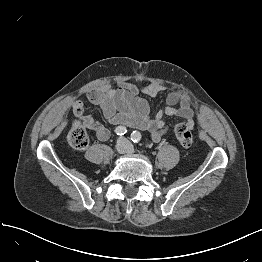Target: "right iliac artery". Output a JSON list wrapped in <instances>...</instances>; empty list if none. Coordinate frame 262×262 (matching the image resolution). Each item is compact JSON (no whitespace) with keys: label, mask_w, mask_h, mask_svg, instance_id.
Segmentation results:
<instances>
[{"label":"right iliac artery","mask_w":262,"mask_h":262,"mask_svg":"<svg viewBox=\"0 0 262 262\" xmlns=\"http://www.w3.org/2000/svg\"><path fill=\"white\" fill-rule=\"evenodd\" d=\"M115 132H116L117 135L122 136V135H124L125 133H127V129H126L125 127H117V128L115 129Z\"/></svg>","instance_id":"82829eb1"}]
</instances>
